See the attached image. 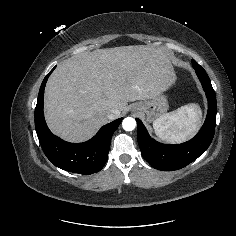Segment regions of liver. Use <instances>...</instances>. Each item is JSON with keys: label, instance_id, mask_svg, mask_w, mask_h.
<instances>
[{"label": "liver", "instance_id": "1", "mask_svg": "<svg viewBox=\"0 0 236 236\" xmlns=\"http://www.w3.org/2000/svg\"><path fill=\"white\" fill-rule=\"evenodd\" d=\"M175 81L171 59L161 48L96 49L57 66L45 89V118L54 134L83 142L118 118L128 102L152 99Z\"/></svg>", "mask_w": 236, "mask_h": 236}]
</instances>
